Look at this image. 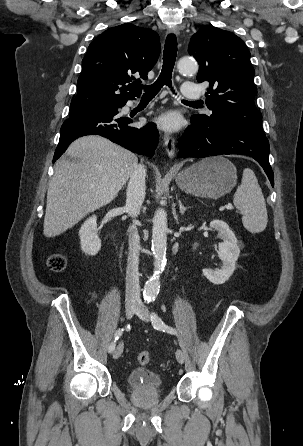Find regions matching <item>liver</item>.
Here are the masks:
<instances>
[{
	"instance_id": "6515ba94",
	"label": "liver",
	"mask_w": 303,
	"mask_h": 446,
	"mask_svg": "<svg viewBox=\"0 0 303 446\" xmlns=\"http://www.w3.org/2000/svg\"><path fill=\"white\" fill-rule=\"evenodd\" d=\"M49 184L43 234L55 237L109 204L138 164L137 156L100 136H85L67 149Z\"/></svg>"
}]
</instances>
